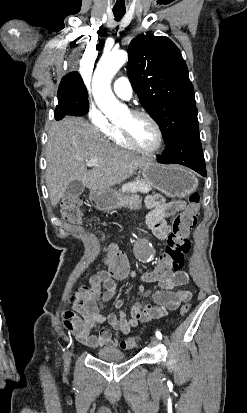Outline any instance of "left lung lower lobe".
Wrapping results in <instances>:
<instances>
[{
    "label": "left lung lower lobe",
    "instance_id": "0a47b994",
    "mask_svg": "<svg viewBox=\"0 0 247 413\" xmlns=\"http://www.w3.org/2000/svg\"><path fill=\"white\" fill-rule=\"evenodd\" d=\"M162 164H181L206 177V166L199 137H184L173 140L167 145L161 156Z\"/></svg>",
    "mask_w": 247,
    "mask_h": 413
}]
</instances>
